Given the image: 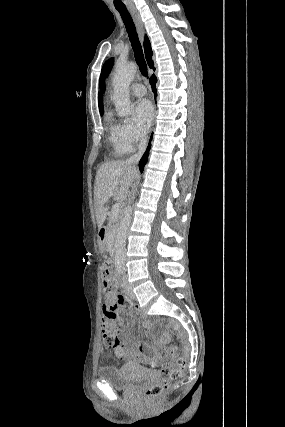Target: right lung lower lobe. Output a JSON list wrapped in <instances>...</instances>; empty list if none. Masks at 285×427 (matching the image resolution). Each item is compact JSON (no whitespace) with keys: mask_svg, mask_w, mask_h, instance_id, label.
I'll return each instance as SVG.
<instances>
[{"mask_svg":"<svg viewBox=\"0 0 285 427\" xmlns=\"http://www.w3.org/2000/svg\"><path fill=\"white\" fill-rule=\"evenodd\" d=\"M156 82H157V78L153 75L150 78V84H151L152 90H153V92L155 94V97H156V86H155ZM151 139H152V135H151V138H150V142H149L148 148H147L146 152L144 153L143 157L141 158V160L139 162V169H140L141 172H143L144 166H145V164H146V162L148 160V152H149V149L151 147Z\"/></svg>","mask_w":285,"mask_h":427,"instance_id":"98d812e1","label":"right lung lower lobe"}]
</instances>
